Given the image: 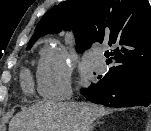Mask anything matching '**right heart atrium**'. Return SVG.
<instances>
[{
  "label": "right heart atrium",
  "instance_id": "1",
  "mask_svg": "<svg viewBox=\"0 0 151 131\" xmlns=\"http://www.w3.org/2000/svg\"><path fill=\"white\" fill-rule=\"evenodd\" d=\"M36 80L38 91L43 97H68L71 93L70 59L58 48L45 51L38 62Z\"/></svg>",
  "mask_w": 151,
  "mask_h": 131
}]
</instances>
